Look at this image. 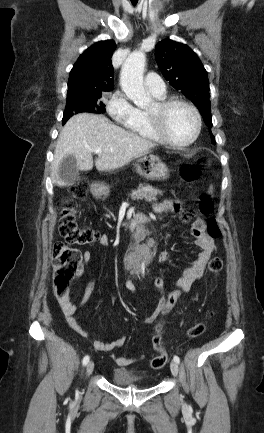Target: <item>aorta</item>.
I'll return each mask as SVG.
<instances>
[{"mask_svg": "<svg viewBox=\"0 0 264 433\" xmlns=\"http://www.w3.org/2000/svg\"><path fill=\"white\" fill-rule=\"evenodd\" d=\"M145 62V54L141 51H135L128 56L121 70L122 90L138 107H145L150 102L143 84Z\"/></svg>", "mask_w": 264, "mask_h": 433, "instance_id": "1", "label": "aorta"}]
</instances>
